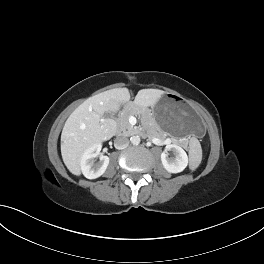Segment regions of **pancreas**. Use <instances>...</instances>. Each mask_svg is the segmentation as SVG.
<instances>
[{
	"label": "pancreas",
	"instance_id": "1",
	"mask_svg": "<svg viewBox=\"0 0 264 264\" xmlns=\"http://www.w3.org/2000/svg\"><path fill=\"white\" fill-rule=\"evenodd\" d=\"M137 113H138V109L136 106H132L130 108H126L125 110H123V112L121 113L120 117L117 120L119 131L127 135L133 134L136 131V129L129 123V117L131 115H137ZM151 123L152 126L149 130V135L163 138L164 136L156 131L157 127L155 123L154 122Z\"/></svg>",
	"mask_w": 264,
	"mask_h": 264
}]
</instances>
